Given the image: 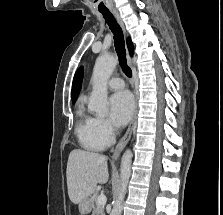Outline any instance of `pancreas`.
Returning a JSON list of instances; mask_svg holds the SVG:
<instances>
[{
  "label": "pancreas",
  "mask_w": 223,
  "mask_h": 215,
  "mask_svg": "<svg viewBox=\"0 0 223 215\" xmlns=\"http://www.w3.org/2000/svg\"><path fill=\"white\" fill-rule=\"evenodd\" d=\"M90 198L92 199V202H94V205H92L94 207L92 209V215H105L104 205H97L98 193H93V195H90L89 199Z\"/></svg>",
  "instance_id": "1"
}]
</instances>
